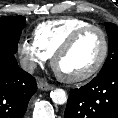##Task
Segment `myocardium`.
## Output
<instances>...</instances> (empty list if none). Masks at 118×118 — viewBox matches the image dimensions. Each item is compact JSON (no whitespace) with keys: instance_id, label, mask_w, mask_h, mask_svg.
Instances as JSON below:
<instances>
[{"instance_id":"f54148a6","label":"myocardium","mask_w":118,"mask_h":118,"mask_svg":"<svg viewBox=\"0 0 118 118\" xmlns=\"http://www.w3.org/2000/svg\"><path fill=\"white\" fill-rule=\"evenodd\" d=\"M90 31H97L102 38V42H103V50L101 53V56L99 58V60L97 61V63L87 72L78 75V76H73V77H69V76H64L62 74H60L57 70V62L58 60L64 55L66 54L78 41L81 37H83L85 34H87ZM109 53V39L108 36L106 34V32L99 26L96 25H89L86 27H83L79 30H77L76 32H74L52 55V67L54 68V70L56 71L58 77L67 83H78V82H82L85 80H88L90 78H92L95 74H97L99 72V70L102 68V66L104 65L107 56Z\"/></svg>"}]
</instances>
